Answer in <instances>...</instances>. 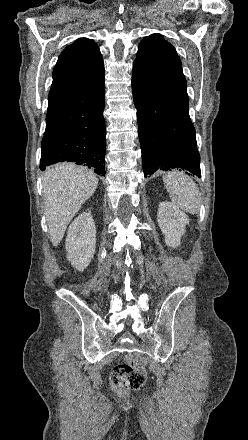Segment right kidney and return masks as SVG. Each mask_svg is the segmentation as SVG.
I'll return each mask as SVG.
<instances>
[{
  "mask_svg": "<svg viewBox=\"0 0 248 440\" xmlns=\"http://www.w3.org/2000/svg\"><path fill=\"white\" fill-rule=\"evenodd\" d=\"M65 246L71 265L78 271H84L96 248V228L91 213L83 212L70 224Z\"/></svg>",
  "mask_w": 248,
  "mask_h": 440,
  "instance_id": "obj_1",
  "label": "right kidney"
}]
</instances>
